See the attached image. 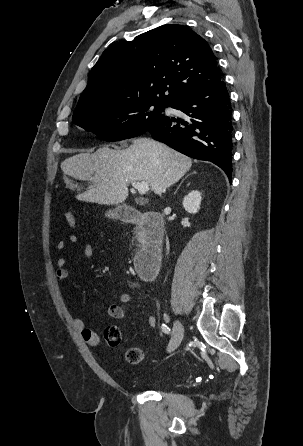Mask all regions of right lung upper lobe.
<instances>
[{
	"instance_id": "obj_1",
	"label": "right lung upper lobe",
	"mask_w": 303,
	"mask_h": 446,
	"mask_svg": "<svg viewBox=\"0 0 303 446\" xmlns=\"http://www.w3.org/2000/svg\"><path fill=\"white\" fill-rule=\"evenodd\" d=\"M221 78L208 43L188 27L167 24L108 47L92 68L73 115L138 100L171 105Z\"/></svg>"
}]
</instances>
